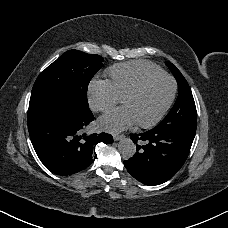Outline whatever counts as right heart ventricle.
<instances>
[{
    "mask_svg": "<svg viewBox=\"0 0 228 228\" xmlns=\"http://www.w3.org/2000/svg\"><path fill=\"white\" fill-rule=\"evenodd\" d=\"M163 73L158 66L141 62L120 64L110 70L111 83L120 98L126 97L146 78Z\"/></svg>",
    "mask_w": 228,
    "mask_h": 228,
    "instance_id": "e07e8e85",
    "label": "right heart ventricle"
}]
</instances>
